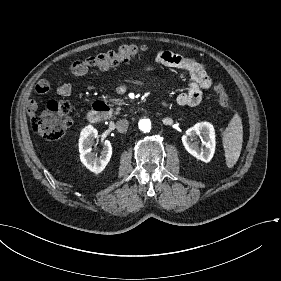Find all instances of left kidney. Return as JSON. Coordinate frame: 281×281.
Masks as SVG:
<instances>
[{"instance_id":"obj_1","label":"left kidney","mask_w":281,"mask_h":281,"mask_svg":"<svg viewBox=\"0 0 281 281\" xmlns=\"http://www.w3.org/2000/svg\"><path fill=\"white\" fill-rule=\"evenodd\" d=\"M190 137V139H189ZM196 138H200L202 145L199 147ZM185 149L197 159L208 163L214 154L213 126L207 122L198 123L186 130L182 136Z\"/></svg>"}]
</instances>
